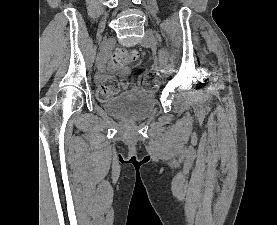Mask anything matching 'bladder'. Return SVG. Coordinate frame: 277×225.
<instances>
[{
	"mask_svg": "<svg viewBox=\"0 0 277 225\" xmlns=\"http://www.w3.org/2000/svg\"><path fill=\"white\" fill-rule=\"evenodd\" d=\"M155 106L156 95L140 89L124 92L105 103L110 114L127 120L145 119L154 111Z\"/></svg>",
	"mask_w": 277,
	"mask_h": 225,
	"instance_id": "1",
	"label": "bladder"
}]
</instances>
